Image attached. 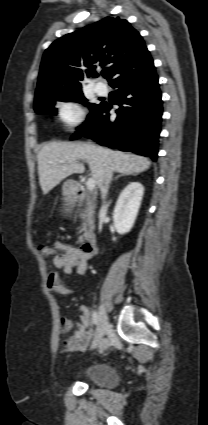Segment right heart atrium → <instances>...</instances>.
I'll list each match as a JSON object with an SVG mask.
<instances>
[{
	"label": "right heart atrium",
	"mask_w": 208,
	"mask_h": 425,
	"mask_svg": "<svg viewBox=\"0 0 208 425\" xmlns=\"http://www.w3.org/2000/svg\"><path fill=\"white\" fill-rule=\"evenodd\" d=\"M59 117L65 125L75 127L84 120V113L76 103L64 102L59 107Z\"/></svg>",
	"instance_id": "1"
}]
</instances>
